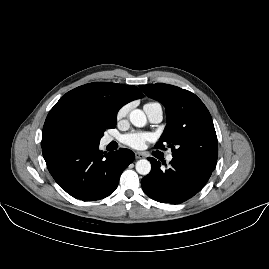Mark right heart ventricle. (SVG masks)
I'll return each mask as SVG.
<instances>
[{"instance_id":"right-heart-ventricle-1","label":"right heart ventricle","mask_w":269,"mask_h":269,"mask_svg":"<svg viewBox=\"0 0 269 269\" xmlns=\"http://www.w3.org/2000/svg\"><path fill=\"white\" fill-rule=\"evenodd\" d=\"M148 104H153V103H147L146 105H148ZM146 105H145V106H146Z\"/></svg>"}]
</instances>
